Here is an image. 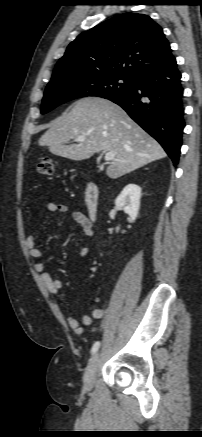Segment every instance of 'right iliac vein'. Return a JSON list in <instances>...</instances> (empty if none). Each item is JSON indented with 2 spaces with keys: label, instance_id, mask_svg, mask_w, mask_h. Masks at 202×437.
Instances as JSON below:
<instances>
[{
  "label": "right iliac vein",
  "instance_id": "1",
  "mask_svg": "<svg viewBox=\"0 0 202 437\" xmlns=\"http://www.w3.org/2000/svg\"><path fill=\"white\" fill-rule=\"evenodd\" d=\"M99 354H96L89 362L86 371L84 373L83 382L84 387L87 390H91L94 385L95 374L98 368Z\"/></svg>",
  "mask_w": 202,
  "mask_h": 437
}]
</instances>
